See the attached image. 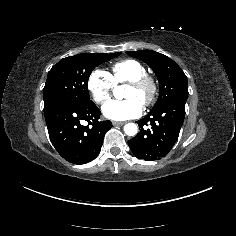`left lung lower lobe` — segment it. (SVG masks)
Returning <instances> with one entry per match:
<instances>
[{"label":"left lung lower lobe","instance_id":"left-lung-lower-lobe-1","mask_svg":"<svg viewBox=\"0 0 236 236\" xmlns=\"http://www.w3.org/2000/svg\"><path fill=\"white\" fill-rule=\"evenodd\" d=\"M186 100L174 99L137 121L140 132L128 141L137 158L154 161L168 154L178 140L185 118ZM149 125L150 128L146 129Z\"/></svg>","mask_w":236,"mask_h":236}]
</instances>
